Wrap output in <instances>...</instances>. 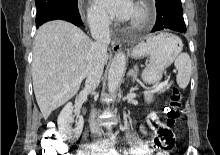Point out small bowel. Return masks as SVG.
I'll return each instance as SVG.
<instances>
[{
  "label": "small bowel",
  "instance_id": "obj_1",
  "mask_svg": "<svg viewBox=\"0 0 220 155\" xmlns=\"http://www.w3.org/2000/svg\"><path fill=\"white\" fill-rule=\"evenodd\" d=\"M148 124L155 131V126L161 124V122L158 120L155 114H151L148 118ZM141 130L144 134L146 133V130L143 126L141 127Z\"/></svg>",
  "mask_w": 220,
  "mask_h": 155
}]
</instances>
